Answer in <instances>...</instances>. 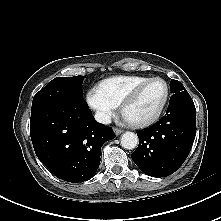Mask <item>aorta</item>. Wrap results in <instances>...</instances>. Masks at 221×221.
<instances>
[{
	"mask_svg": "<svg viewBox=\"0 0 221 221\" xmlns=\"http://www.w3.org/2000/svg\"><path fill=\"white\" fill-rule=\"evenodd\" d=\"M138 145V136L134 132H125L121 137V146L125 149H134Z\"/></svg>",
	"mask_w": 221,
	"mask_h": 221,
	"instance_id": "aorta-1",
	"label": "aorta"
}]
</instances>
